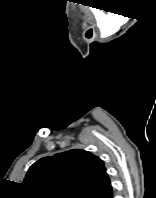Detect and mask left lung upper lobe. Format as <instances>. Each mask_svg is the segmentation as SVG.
<instances>
[{
  "instance_id": "1",
  "label": "left lung upper lobe",
  "mask_w": 156,
  "mask_h": 198,
  "mask_svg": "<svg viewBox=\"0 0 156 198\" xmlns=\"http://www.w3.org/2000/svg\"><path fill=\"white\" fill-rule=\"evenodd\" d=\"M23 184L29 198H93L110 179L99 157L70 150L35 162Z\"/></svg>"
}]
</instances>
